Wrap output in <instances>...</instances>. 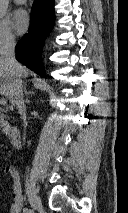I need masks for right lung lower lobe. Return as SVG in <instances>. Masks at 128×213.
Returning <instances> with one entry per match:
<instances>
[{"instance_id": "obj_1", "label": "right lung lower lobe", "mask_w": 128, "mask_h": 213, "mask_svg": "<svg viewBox=\"0 0 128 213\" xmlns=\"http://www.w3.org/2000/svg\"><path fill=\"white\" fill-rule=\"evenodd\" d=\"M31 12L28 34L17 43L16 56L29 69L43 77L45 71L41 63L40 52L44 39L54 25V0H34Z\"/></svg>"}]
</instances>
